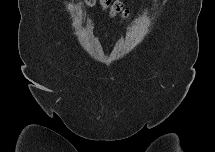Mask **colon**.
Masks as SVG:
<instances>
[{
	"instance_id": "1",
	"label": "colon",
	"mask_w": 215,
	"mask_h": 152,
	"mask_svg": "<svg viewBox=\"0 0 215 152\" xmlns=\"http://www.w3.org/2000/svg\"><path fill=\"white\" fill-rule=\"evenodd\" d=\"M88 3L91 5L98 3L104 9L109 10V12L113 16H119L122 20H127L130 17L129 11L125 9L119 1L100 0V1H88Z\"/></svg>"
}]
</instances>
